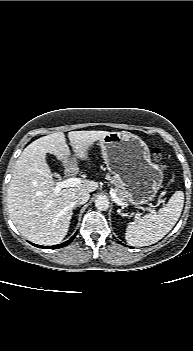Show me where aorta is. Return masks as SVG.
<instances>
[{"label": "aorta", "mask_w": 193, "mask_h": 351, "mask_svg": "<svg viewBox=\"0 0 193 351\" xmlns=\"http://www.w3.org/2000/svg\"><path fill=\"white\" fill-rule=\"evenodd\" d=\"M95 207L98 210H107L109 208V200L106 196L104 195H99L96 199H95Z\"/></svg>", "instance_id": "aorta-1"}]
</instances>
